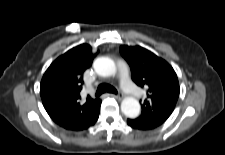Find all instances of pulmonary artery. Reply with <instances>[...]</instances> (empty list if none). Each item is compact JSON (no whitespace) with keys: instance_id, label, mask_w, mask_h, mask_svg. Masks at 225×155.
I'll use <instances>...</instances> for the list:
<instances>
[{"instance_id":"1","label":"pulmonary artery","mask_w":225,"mask_h":155,"mask_svg":"<svg viewBox=\"0 0 225 155\" xmlns=\"http://www.w3.org/2000/svg\"><path fill=\"white\" fill-rule=\"evenodd\" d=\"M118 73L120 77V84L122 89L132 97L138 98L141 93L139 89L133 84L130 79L127 66L124 62H120L118 65Z\"/></svg>"}]
</instances>
